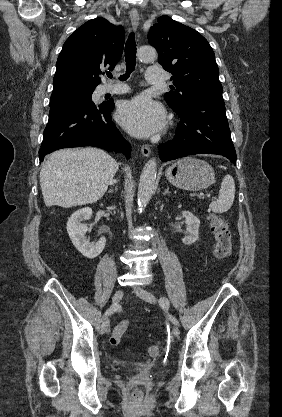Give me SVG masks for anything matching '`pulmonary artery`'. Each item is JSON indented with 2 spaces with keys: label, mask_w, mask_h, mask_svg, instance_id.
Here are the masks:
<instances>
[{
  "label": "pulmonary artery",
  "mask_w": 282,
  "mask_h": 417,
  "mask_svg": "<svg viewBox=\"0 0 282 417\" xmlns=\"http://www.w3.org/2000/svg\"><path fill=\"white\" fill-rule=\"evenodd\" d=\"M162 72V67L160 65H149L148 66V73L146 74L145 80L146 83H164L165 77L164 74H160ZM128 90L127 86L122 87H114L109 86L105 89L106 93L111 94H118V93H125Z\"/></svg>",
  "instance_id": "1"
}]
</instances>
